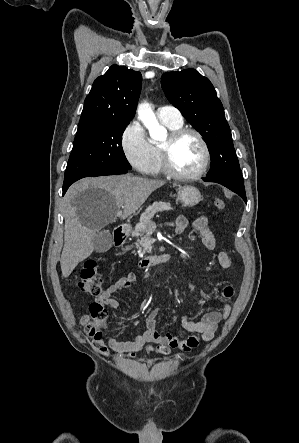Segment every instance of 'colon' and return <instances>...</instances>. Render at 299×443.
I'll list each match as a JSON object with an SVG mask.
<instances>
[{"label":"colon","mask_w":299,"mask_h":443,"mask_svg":"<svg viewBox=\"0 0 299 443\" xmlns=\"http://www.w3.org/2000/svg\"><path fill=\"white\" fill-rule=\"evenodd\" d=\"M216 210L223 211L226 209V203L222 199H216L214 202ZM78 286L81 291L90 295H98L102 291V278L97 271L94 261L84 263ZM89 321L86 324L89 336L98 345L101 351H104V333L103 330L107 323V310L102 304L93 302L89 305Z\"/></svg>","instance_id":"obj_1"}]
</instances>
